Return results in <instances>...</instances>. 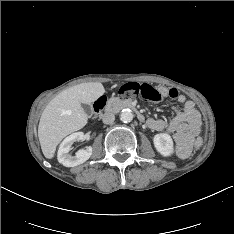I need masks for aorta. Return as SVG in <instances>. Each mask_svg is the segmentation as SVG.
I'll return each mask as SVG.
<instances>
[{
  "mask_svg": "<svg viewBox=\"0 0 234 234\" xmlns=\"http://www.w3.org/2000/svg\"><path fill=\"white\" fill-rule=\"evenodd\" d=\"M120 120L124 123L131 122L133 120V113L130 109H123L120 114Z\"/></svg>",
  "mask_w": 234,
  "mask_h": 234,
  "instance_id": "obj_1",
  "label": "aorta"
}]
</instances>
